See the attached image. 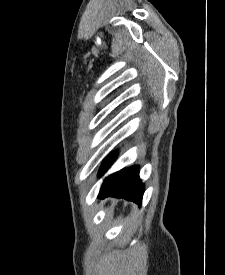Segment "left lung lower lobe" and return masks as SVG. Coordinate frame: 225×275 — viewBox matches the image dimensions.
<instances>
[{"label":"left lung lower lobe","instance_id":"0a47b994","mask_svg":"<svg viewBox=\"0 0 225 275\" xmlns=\"http://www.w3.org/2000/svg\"><path fill=\"white\" fill-rule=\"evenodd\" d=\"M116 156L117 154L113 153L104 160L100 173H104L111 166ZM143 189L144 185L139 178V169L137 166H133L107 177L101 186L98 197L100 199L106 197L124 198L141 205Z\"/></svg>","mask_w":225,"mask_h":275}]
</instances>
